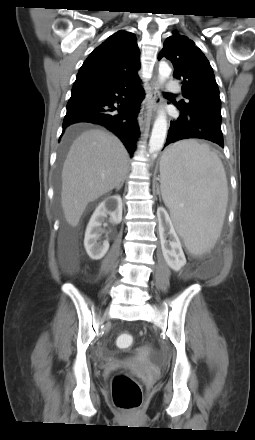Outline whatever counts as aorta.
Listing matches in <instances>:
<instances>
[{"label":"aorta","mask_w":255,"mask_h":440,"mask_svg":"<svg viewBox=\"0 0 255 440\" xmlns=\"http://www.w3.org/2000/svg\"><path fill=\"white\" fill-rule=\"evenodd\" d=\"M171 74V68L165 62L159 64V81L162 83ZM167 135V119L164 111H160L153 125L149 140V152L155 158L162 149Z\"/></svg>","instance_id":"762f6f07"}]
</instances>
